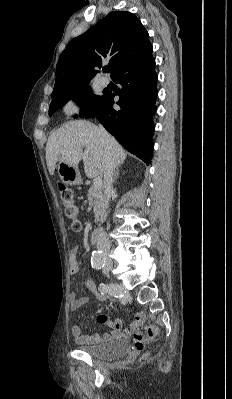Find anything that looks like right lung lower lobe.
Segmentation results:
<instances>
[{
	"label": "right lung lower lobe",
	"mask_w": 232,
	"mask_h": 399,
	"mask_svg": "<svg viewBox=\"0 0 232 399\" xmlns=\"http://www.w3.org/2000/svg\"><path fill=\"white\" fill-rule=\"evenodd\" d=\"M152 52L144 58L121 66L111 78L121 85L114 94L105 92L100 105L91 112L80 113L83 118H96L129 152L151 162L153 152L152 116L156 111L157 75ZM120 110L113 108L114 97Z\"/></svg>",
	"instance_id": "obj_1"
}]
</instances>
